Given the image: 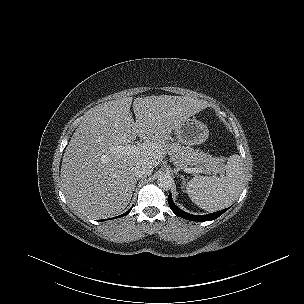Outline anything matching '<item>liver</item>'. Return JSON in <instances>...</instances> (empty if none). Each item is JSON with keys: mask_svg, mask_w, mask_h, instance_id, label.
I'll return each instance as SVG.
<instances>
[{"mask_svg": "<svg viewBox=\"0 0 304 304\" xmlns=\"http://www.w3.org/2000/svg\"><path fill=\"white\" fill-rule=\"evenodd\" d=\"M132 97L99 104L86 112L65 149L61 165L63 193L71 208L92 219L121 213L136 186L138 163L158 166L165 158L172 132L182 121L206 108L187 96ZM143 140L131 152L114 148Z\"/></svg>", "mask_w": 304, "mask_h": 304, "instance_id": "obj_1", "label": "liver"}]
</instances>
